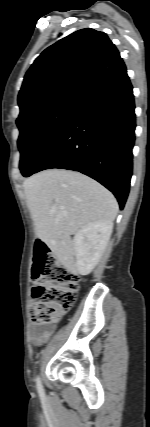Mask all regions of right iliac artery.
Listing matches in <instances>:
<instances>
[{"instance_id": "1", "label": "right iliac artery", "mask_w": 150, "mask_h": 427, "mask_svg": "<svg viewBox=\"0 0 150 427\" xmlns=\"http://www.w3.org/2000/svg\"><path fill=\"white\" fill-rule=\"evenodd\" d=\"M36 385H37V390H38L40 397H44V389H43L40 377H37Z\"/></svg>"}]
</instances>
